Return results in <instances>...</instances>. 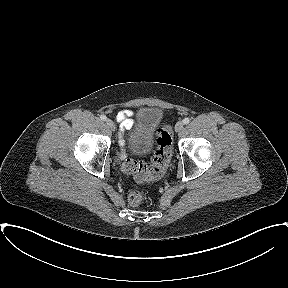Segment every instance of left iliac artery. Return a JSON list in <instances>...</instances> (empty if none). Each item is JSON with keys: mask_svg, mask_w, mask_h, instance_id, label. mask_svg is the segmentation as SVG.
<instances>
[{"mask_svg": "<svg viewBox=\"0 0 288 288\" xmlns=\"http://www.w3.org/2000/svg\"><path fill=\"white\" fill-rule=\"evenodd\" d=\"M189 122H190V119H189V118H184V119H183V123H184V124H188Z\"/></svg>", "mask_w": 288, "mask_h": 288, "instance_id": "1", "label": "left iliac artery"}]
</instances>
